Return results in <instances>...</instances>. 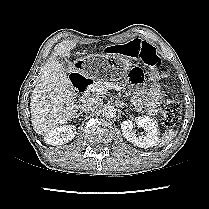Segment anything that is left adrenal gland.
<instances>
[{
  "label": "left adrenal gland",
  "mask_w": 209,
  "mask_h": 209,
  "mask_svg": "<svg viewBox=\"0 0 209 209\" xmlns=\"http://www.w3.org/2000/svg\"><path fill=\"white\" fill-rule=\"evenodd\" d=\"M121 105L128 107V106H127L126 104H124V103H121Z\"/></svg>",
  "instance_id": "1"
}]
</instances>
